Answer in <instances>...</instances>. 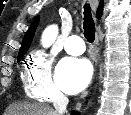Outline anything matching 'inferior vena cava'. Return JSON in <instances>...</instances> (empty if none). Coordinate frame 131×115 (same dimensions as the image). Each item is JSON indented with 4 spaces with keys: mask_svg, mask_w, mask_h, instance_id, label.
<instances>
[{
    "mask_svg": "<svg viewBox=\"0 0 131 115\" xmlns=\"http://www.w3.org/2000/svg\"><path fill=\"white\" fill-rule=\"evenodd\" d=\"M68 102H69L68 98L63 94L59 93L54 97L53 105L57 115H63L66 112Z\"/></svg>",
    "mask_w": 131,
    "mask_h": 115,
    "instance_id": "obj_1",
    "label": "inferior vena cava"
}]
</instances>
